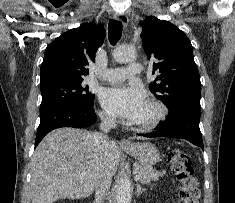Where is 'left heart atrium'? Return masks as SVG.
<instances>
[{
    "label": "left heart atrium",
    "mask_w": 235,
    "mask_h": 203,
    "mask_svg": "<svg viewBox=\"0 0 235 203\" xmlns=\"http://www.w3.org/2000/svg\"><path fill=\"white\" fill-rule=\"evenodd\" d=\"M100 99L107 112L131 122L139 118L147 105L143 91L131 85L107 88Z\"/></svg>",
    "instance_id": "39dd6f15"
}]
</instances>
